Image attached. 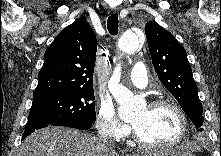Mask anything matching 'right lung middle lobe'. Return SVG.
Returning a JSON list of instances; mask_svg holds the SVG:
<instances>
[{
    "mask_svg": "<svg viewBox=\"0 0 221 156\" xmlns=\"http://www.w3.org/2000/svg\"><path fill=\"white\" fill-rule=\"evenodd\" d=\"M93 89L60 92L34 98L25 129L57 123H94Z\"/></svg>",
    "mask_w": 221,
    "mask_h": 156,
    "instance_id": "1",
    "label": "right lung middle lobe"
}]
</instances>
